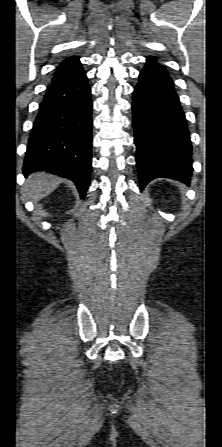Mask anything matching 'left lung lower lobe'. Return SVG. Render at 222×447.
<instances>
[{
	"mask_svg": "<svg viewBox=\"0 0 222 447\" xmlns=\"http://www.w3.org/2000/svg\"><path fill=\"white\" fill-rule=\"evenodd\" d=\"M133 97L136 163L142 188L158 177L188 185L193 168L185 115L172 79L154 58L147 57Z\"/></svg>",
	"mask_w": 222,
	"mask_h": 447,
	"instance_id": "0a47b994",
	"label": "left lung lower lobe"
}]
</instances>
